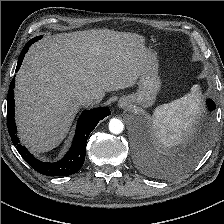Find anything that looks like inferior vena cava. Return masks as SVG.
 Here are the masks:
<instances>
[{
	"label": "inferior vena cava",
	"mask_w": 224,
	"mask_h": 224,
	"mask_svg": "<svg viewBox=\"0 0 224 224\" xmlns=\"http://www.w3.org/2000/svg\"><path fill=\"white\" fill-rule=\"evenodd\" d=\"M79 102L82 106H89V105H94L99 102V99L97 96L90 94V93H85L80 96Z\"/></svg>",
	"instance_id": "602c4592"
}]
</instances>
